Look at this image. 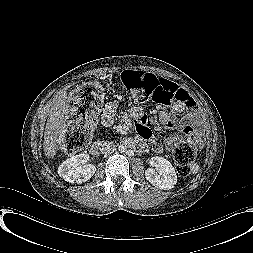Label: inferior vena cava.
<instances>
[{
  "mask_svg": "<svg viewBox=\"0 0 253 253\" xmlns=\"http://www.w3.org/2000/svg\"><path fill=\"white\" fill-rule=\"evenodd\" d=\"M113 152H114V149H113V148H110L109 151H108V154H109V155H112ZM106 154H107V153H106Z\"/></svg>",
  "mask_w": 253,
  "mask_h": 253,
  "instance_id": "1",
  "label": "inferior vena cava"
}]
</instances>
